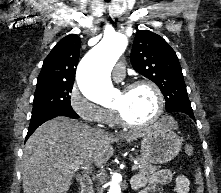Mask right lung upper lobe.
<instances>
[{
    "label": "right lung upper lobe",
    "instance_id": "cb5924a9",
    "mask_svg": "<svg viewBox=\"0 0 221 193\" xmlns=\"http://www.w3.org/2000/svg\"><path fill=\"white\" fill-rule=\"evenodd\" d=\"M81 40L76 34L61 39L45 58L37 85L74 84Z\"/></svg>",
    "mask_w": 221,
    "mask_h": 193
}]
</instances>
